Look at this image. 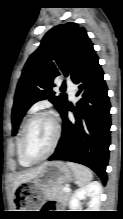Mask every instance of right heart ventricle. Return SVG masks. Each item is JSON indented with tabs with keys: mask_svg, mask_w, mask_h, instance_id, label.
Here are the masks:
<instances>
[{
	"mask_svg": "<svg viewBox=\"0 0 123 219\" xmlns=\"http://www.w3.org/2000/svg\"><path fill=\"white\" fill-rule=\"evenodd\" d=\"M22 130H23V127L21 128V131H20L18 138H17V141H16L17 159H18L19 164L22 167H29V166H31V163H28L27 161H25L21 155V152H20V138H21Z\"/></svg>",
	"mask_w": 123,
	"mask_h": 219,
	"instance_id": "e07e8e85",
	"label": "right heart ventricle"
}]
</instances>
